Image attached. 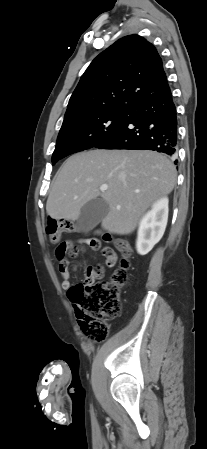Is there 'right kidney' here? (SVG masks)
Here are the masks:
<instances>
[{
	"mask_svg": "<svg viewBox=\"0 0 207 449\" xmlns=\"http://www.w3.org/2000/svg\"><path fill=\"white\" fill-rule=\"evenodd\" d=\"M168 198L163 197L152 206L140 221L136 241L137 252L146 255L162 238L168 221Z\"/></svg>",
	"mask_w": 207,
	"mask_h": 449,
	"instance_id": "1",
	"label": "right kidney"
}]
</instances>
